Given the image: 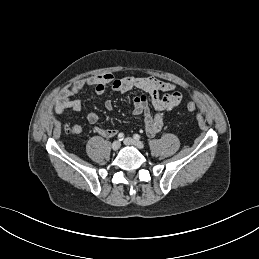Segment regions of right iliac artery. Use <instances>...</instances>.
Returning <instances> with one entry per match:
<instances>
[{"label": "right iliac artery", "instance_id": "1", "mask_svg": "<svg viewBox=\"0 0 259 259\" xmlns=\"http://www.w3.org/2000/svg\"><path fill=\"white\" fill-rule=\"evenodd\" d=\"M118 139H119V141H122L124 139V134L123 133H119L118 134Z\"/></svg>", "mask_w": 259, "mask_h": 259}]
</instances>
